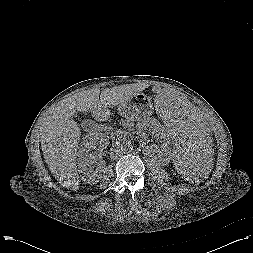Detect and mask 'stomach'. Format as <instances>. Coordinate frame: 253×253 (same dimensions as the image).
<instances>
[{"label":"stomach","instance_id":"stomach-1","mask_svg":"<svg viewBox=\"0 0 253 253\" xmlns=\"http://www.w3.org/2000/svg\"><path fill=\"white\" fill-rule=\"evenodd\" d=\"M119 113L129 121H139L153 113L154 106L151 98L138 93L127 102L118 106Z\"/></svg>","mask_w":253,"mask_h":253}]
</instances>
